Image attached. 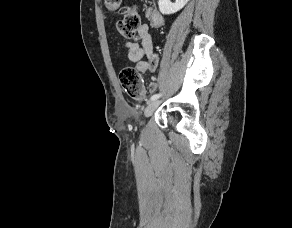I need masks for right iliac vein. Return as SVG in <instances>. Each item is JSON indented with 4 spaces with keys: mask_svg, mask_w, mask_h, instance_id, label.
<instances>
[{
    "mask_svg": "<svg viewBox=\"0 0 292 228\" xmlns=\"http://www.w3.org/2000/svg\"><path fill=\"white\" fill-rule=\"evenodd\" d=\"M159 105V101H152L148 104V106L145 109L144 115L145 117H149L152 115V113L155 111L157 106Z\"/></svg>",
    "mask_w": 292,
    "mask_h": 228,
    "instance_id": "63e3f726",
    "label": "right iliac vein"
}]
</instances>
